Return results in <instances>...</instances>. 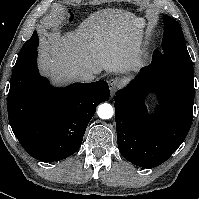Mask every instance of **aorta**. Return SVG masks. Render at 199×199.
<instances>
[{
	"label": "aorta",
	"instance_id": "aorta-1",
	"mask_svg": "<svg viewBox=\"0 0 199 199\" xmlns=\"http://www.w3.org/2000/svg\"><path fill=\"white\" fill-rule=\"evenodd\" d=\"M113 107L108 103H103L98 107V116L101 119H110L113 116Z\"/></svg>",
	"mask_w": 199,
	"mask_h": 199
}]
</instances>
